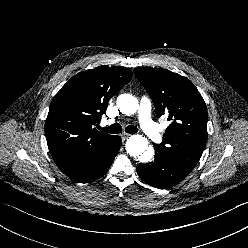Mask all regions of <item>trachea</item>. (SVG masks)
Listing matches in <instances>:
<instances>
[{"mask_svg": "<svg viewBox=\"0 0 248 248\" xmlns=\"http://www.w3.org/2000/svg\"><path fill=\"white\" fill-rule=\"evenodd\" d=\"M103 131L111 133V134H118L121 133L122 127L120 124L115 123L109 127L102 128ZM138 131L137 127L129 125L125 128V132L129 134H134Z\"/></svg>", "mask_w": 248, "mask_h": 248, "instance_id": "trachea-1", "label": "trachea"}]
</instances>
